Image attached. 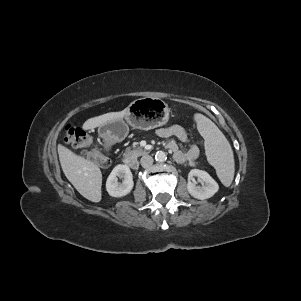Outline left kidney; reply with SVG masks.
Segmentation results:
<instances>
[{
    "mask_svg": "<svg viewBox=\"0 0 301 301\" xmlns=\"http://www.w3.org/2000/svg\"><path fill=\"white\" fill-rule=\"evenodd\" d=\"M193 177H198L203 186H196L193 182ZM219 189L217 182L206 172L199 169H192L188 175L187 190L190 195L196 199L204 200L212 197Z\"/></svg>",
    "mask_w": 301,
    "mask_h": 301,
    "instance_id": "obj_1",
    "label": "left kidney"
}]
</instances>
